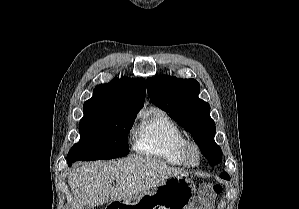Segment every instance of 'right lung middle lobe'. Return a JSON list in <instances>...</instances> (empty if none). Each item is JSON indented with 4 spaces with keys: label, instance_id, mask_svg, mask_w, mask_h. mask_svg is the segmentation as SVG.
I'll return each mask as SVG.
<instances>
[{
    "label": "right lung middle lobe",
    "instance_id": "dd1d6c3e",
    "mask_svg": "<svg viewBox=\"0 0 299 209\" xmlns=\"http://www.w3.org/2000/svg\"><path fill=\"white\" fill-rule=\"evenodd\" d=\"M137 112L84 111L80 140L67 155V162L113 159L129 153L128 133Z\"/></svg>",
    "mask_w": 299,
    "mask_h": 209
}]
</instances>
